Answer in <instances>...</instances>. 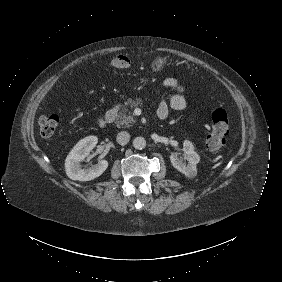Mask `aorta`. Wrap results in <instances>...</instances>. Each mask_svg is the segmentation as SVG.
I'll use <instances>...</instances> for the list:
<instances>
[{
    "label": "aorta",
    "instance_id": "1",
    "mask_svg": "<svg viewBox=\"0 0 282 282\" xmlns=\"http://www.w3.org/2000/svg\"><path fill=\"white\" fill-rule=\"evenodd\" d=\"M132 144L135 149L142 150L146 147V140L143 137H136Z\"/></svg>",
    "mask_w": 282,
    "mask_h": 282
}]
</instances>
